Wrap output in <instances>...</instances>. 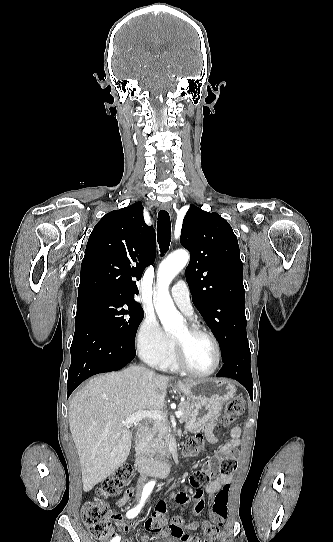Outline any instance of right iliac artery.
I'll use <instances>...</instances> for the list:
<instances>
[{
  "label": "right iliac artery",
  "mask_w": 333,
  "mask_h": 542,
  "mask_svg": "<svg viewBox=\"0 0 333 542\" xmlns=\"http://www.w3.org/2000/svg\"><path fill=\"white\" fill-rule=\"evenodd\" d=\"M153 487H154V483H149L144 487L143 492H142V497H141L140 504L137 507L129 510L126 513V516L128 518H134L136 515H138V513L140 512L141 507L143 506L145 500L147 499V497L151 493ZM119 541H120V537L116 536V537L113 538V540L111 542H119Z\"/></svg>",
  "instance_id": "82829eb1"
}]
</instances>
